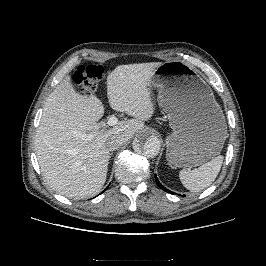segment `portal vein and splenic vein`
Segmentation results:
<instances>
[{
    "mask_svg": "<svg viewBox=\"0 0 266 266\" xmlns=\"http://www.w3.org/2000/svg\"><path fill=\"white\" fill-rule=\"evenodd\" d=\"M117 121H118V119L115 116H111L108 119L107 124L109 126H114L117 123ZM74 134H76V136L80 137L84 141H89V140H91L93 138V135H87V134H83V133H80V132H77V131H75Z\"/></svg>",
    "mask_w": 266,
    "mask_h": 266,
    "instance_id": "obj_1",
    "label": "portal vein and splenic vein"
}]
</instances>
